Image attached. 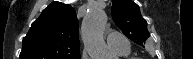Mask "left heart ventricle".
<instances>
[{
  "label": "left heart ventricle",
  "instance_id": "b2bd125f",
  "mask_svg": "<svg viewBox=\"0 0 193 59\" xmlns=\"http://www.w3.org/2000/svg\"><path fill=\"white\" fill-rule=\"evenodd\" d=\"M112 52H115L114 50L110 49Z\"/></svg>",
  "mask_w": 193,
  "mask_h": 59
}]
</instances>
